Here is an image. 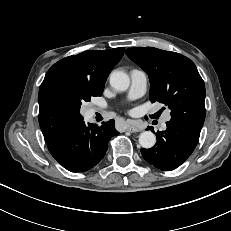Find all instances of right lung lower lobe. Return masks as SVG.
<instances>
[{"instance_id":"98d812e1","label":"right lung lower lobe","mask_w":231,"mask_h":231,"mask_svg":"<svg viewBox=\"0 0 231 231\" xmlns=\"http://www.w3.org/2000/svg\"><path fill=\"white\" fill-rule=\"evenodd\" d=\"M119 133L114 120L102 126L84 121L73 124L46 142L52 156L71 172H84L97 165L104 157L108 141Z\"/></svg>"}]
</instances>
